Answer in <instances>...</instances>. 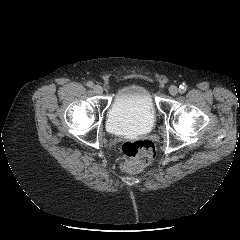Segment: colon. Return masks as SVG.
<instances>
[{"label":"colon","instance_id":"colon-1","mask_svg":"<svg viewBox=\"0 0 240 240\" xmlns=\"http://www.w3.org/2000/svg\"><path fill=\"white\" fill-rule=\"evenodd\" d=\"M120 149L125 157L123 169L129 173L142 171L155 157V146L148 140L125 141Z\"/></svg>","mask_w":240,"mask_h":240}]
</instances>
